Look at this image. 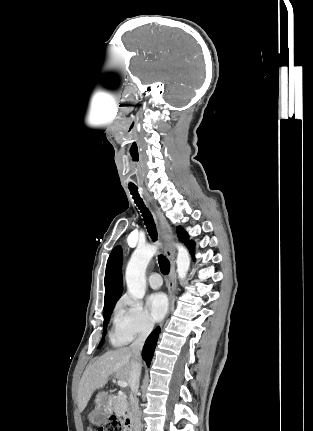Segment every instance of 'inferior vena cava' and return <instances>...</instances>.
Returning <instances> with one entry per match:
<instances>
[{
	"label": "inferior vena cava",
	"mask_w": 313,
	"mask_h": 431,
	"mask_svg": "<svg viewBox=\"0 0 313 431\" xmlns=\"http://www.w3.org/2000/svg\"><path fill=\"white\" fill-rule=\"evenodd\" d=\"M153 326L154 324L152 322H148L138 338L130 345V349L133 354V361L129 375V385L131 388L130 408L134 420V431H141L140 411L137 399L139 379L141 374L140 352L144 346L147 336L153 329Z\"/></svg>",
	"instance_id": "1"
}]
</instances>
